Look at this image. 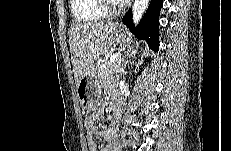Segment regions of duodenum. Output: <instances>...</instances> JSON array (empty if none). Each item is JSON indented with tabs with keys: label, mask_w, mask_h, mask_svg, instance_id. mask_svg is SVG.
Returning a JSON list of instances; mask_svg holds the SVG:
<instances>
[{
	"label": "duodenum",
	"mask_w": 231,
	"mask_h": 151,
	"mask_svg": "<svg viewBox=\"0 0 231 151\" xmlns=\"http://www.w3.org/2000/svg\"><path fill=\"white\" fill-rule=\"evenodd\" d=\"M114 115L115 117H118L120 115V103L117 101L112 102Z\"/></svg>",
	"instance_id": "410a0bca"
}]
</instances>
